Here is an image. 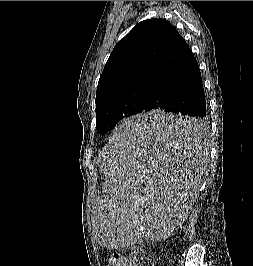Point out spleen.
Segmentation results:
<instances>
[{
    "mask_svg": "<svg viewBox=\"0 0 253 266\" xmlns=\"http://www.w3.org/2000/svg\"><path fill=\"white\" fill-rule=\"evenodd\" d=\"M180 111L126 117L113 135L107 160L108 207L93 208L97 246L159 248L182 229L202 173L203 123Z\"/></svg>",
    "mask_w": 253,
    "mask_h": 266,
    "instance_id": "obj_1",
    "label": "spleen"
}]
</instances>
